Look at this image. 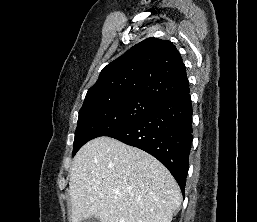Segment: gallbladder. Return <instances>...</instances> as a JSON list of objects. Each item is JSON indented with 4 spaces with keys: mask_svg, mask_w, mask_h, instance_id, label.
Segmentation results:
<instances>
[{
    "mask_svg": "<svg viewBox=\"0 0 257 222\" xmlns=\"http://www.w3.org/2000/svg\"><path fill=\"white\" fill-rule=\"evenodd\" d=\"M81 222H100L96 217H90L88 219L82 220Z\"/></svg>",
    "mask_w": 257,
    "mask_h": 222,
    "instance_id": "1",
    "label": "gallbladder"
}]
</instances>
